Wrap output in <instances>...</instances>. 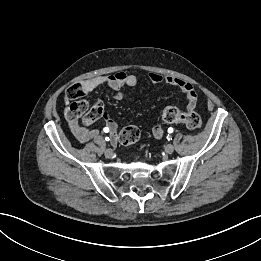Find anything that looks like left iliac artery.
Segmentation results:
<instances>
[{"label":"left iliac artery","instance_id":"1","mask_svg":"<svg viewBox=\"0 0 261 261\" xmlns=\"http://www.w3.org/2000/svg\"><path fill=\"white\" fill-rule=\"evenodd\" d=\"M168 132H169V133H172V132H173V128H172V127L168 128ZM167 139H168V140H172V137H171L170 135H168V136H167Z\"/></svg>","mask_w":261,"mask_h":261}]
</instances>
